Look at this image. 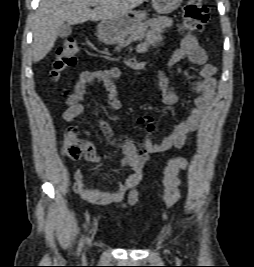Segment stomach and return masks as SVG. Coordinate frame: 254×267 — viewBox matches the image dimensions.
<instances>
[{
    "mask_svg": "<svg viewBox=\"0 0 254 267\" xmlns=\"http://www.w3.org/2000/svg\"><path fill=\"white\" fill-rule=\"evenodd\" d=\"M183 0H152V7L159 14L175 11ZM145 11H130L125 15L102 20L98 27V37L104 43L123 42L124 39L146 19Z\"/></svg>",
    "mask_w": 254,
    "mask_h": 267,
    "instance_id": "obj_1",
    "label": "stomach"
}]
</instances>
